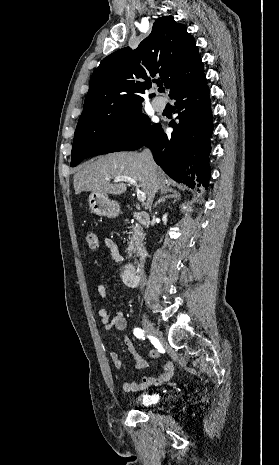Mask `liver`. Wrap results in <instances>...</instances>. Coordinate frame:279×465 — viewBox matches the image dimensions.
I'll use <instances>...</instances> for the list:
<instances>
[{
    "instance_id": "1",
    "label": "liver",
    "mask_w": 279,
    "mask_h": 465,
    "mask_svg": "<svg viewBox=\"0 0 279 465\" xmlns=\"http://www.w3.org/2000/svg\"><path fill=\"white\" fill-rule=\"evenodd\" d=\"M153 173L157 183L156 192L160 190L161 194H164L172 191L168 187L169 179L163 170L155 164L153 171H151L142 153H110L87 161L82 165L80 170L74 175V190L77 195L83 191H91L104 195H120L127 190L126 181H111L116 177L128 176L136 180L141 190L146 193L147 201L145 208L148 209L153 201H151Z\"/></svg>"
}]
</instances>
